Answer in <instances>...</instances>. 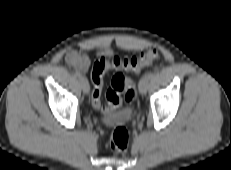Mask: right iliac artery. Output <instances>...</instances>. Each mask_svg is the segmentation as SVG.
I'll list each match as a JSON object with an SVG mask.
<instances>
[{"mask_svg": "<svg viewBox=\"0 0 231 170\" xmlns=\"http://www.w3.org/2000/svg\"><path fill=\"white\" fill-rule=\"evenodd\" d=\"M74 76L77 77V78H81L82 77V75L78 71L74 72Z\"/></svg>", "mask_w": 231, "mask_h": 170, "instance_id": "1", "label": "right iliac artery"}]
</instances>
